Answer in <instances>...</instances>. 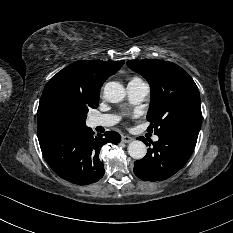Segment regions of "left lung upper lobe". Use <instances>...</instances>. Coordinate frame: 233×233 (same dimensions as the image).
<instances>
[{"instance_id":"1","label":"left lung upper lobe","mask_w":233,"mask_h":233,"mask_svg":"<svg viewBox=\"0 0 233 233\" xmlns=\"http://www.w3.org/2000/svg\"><path fill=\"white\" fill-rule=\"evenodd\" d=\"M127 65L150 84L149 131L163 135L184 125H201L199 91L185 70L174 63L154 59L131 60Z\"/></svg>"}]
</instances>
